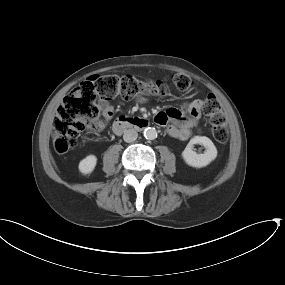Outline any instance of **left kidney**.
Instances as JSON below:
<instances>
[{
  "mask_svg": "<svg viewBox=\"0 0 285 285\" xmlns=\"http://www.w3.org/2000/svg\"><path fill=\"white\" fill-rule=\"evenodd\" d=\"M195 144L203 145L205 148L204 153L197 154L193 150ZM182 157L189 166L202 168L210 164L217 157V149L208 137L194 136L190 139L186 148L182 152Z\"/></svg>",
  "mask_w": 285,
  "mask_h": 285,
  "instance_id": "5707ae66",
  "label": "left kidney"
}]
</instances>
